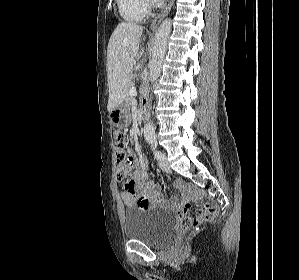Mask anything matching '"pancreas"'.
<instances>
[{
	"label": "pancreas",
	"mask_w": 299,
	"mask_h": 280,
	"mask_svg": "<svg viewBox=\"0 0 299 280\" xmlns=\"http://www.w3.org/2000/svg\"><path fill=\"white\" fill-rule=\"evenodd\" d=\"M132 86H133V83H130L128 85V89H130ZM131 100H132V97L129 94H127V98H126L127 103L130 104Z\"/></svg>",
	"instance_id": "1"
}]
</instances>
